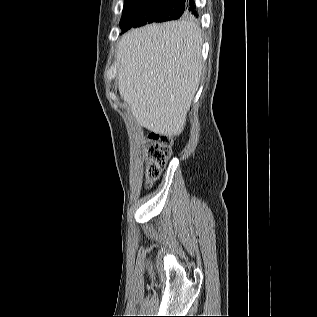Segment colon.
Returning a JSON list of instances; mask_svg holds the SVG:
<instances>
[{
  "label": "colon",
  "instance_id": "obj_1",
  "mask_svg": "<svg viewBox=\"0 0 317 317\" xmlns=\"http://www.w3.org/2000/svg\"><path fill=\"white\" fill-rule=\"evenodd\" d=\"M148 150L146 177L149 182L158 179L171 155V140L163 135L152 133Z\"/></svg>",
  "mask_w": 317,
  "mask_h": 317
}]
</instances>
